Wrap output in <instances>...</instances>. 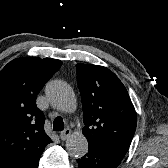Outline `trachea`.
<instances>
[{"instance_id": "1", "label": "trachea", "mask_w": 168, "mask_h": 168, "mask_svg": "<svg viewBox=\"0 0 168 168\" xmlns=\"http://www.w3.org/2000/svg\"><path fill=\"white\" fill-rule=\"evenodd\" d=\"M64 129V122L61 117H56L53 122V130L54 131H62Z\"/></svg>"}]
</instances>
